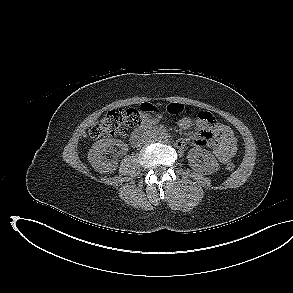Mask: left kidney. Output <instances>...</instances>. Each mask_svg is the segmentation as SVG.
<instances>
[{
    "label": "left kidney",
    "instance_id": "left-kidney-1",
    "mask_svg": "<svg viewBox=\"0 0 293 293\" xmlns=\"http://www.w3.org/2000/svg\"><path fill=\"white\" fill-rule=\"evenodd\" d=\"M203 159V162L200 160ZM187 159L193 170L207 175L213 174L219 169V163L212 153L202 148L190 149Z\"/></svg>",
    "mask_w": 293,
    "mask_h": 293
}]
</instances>
